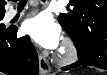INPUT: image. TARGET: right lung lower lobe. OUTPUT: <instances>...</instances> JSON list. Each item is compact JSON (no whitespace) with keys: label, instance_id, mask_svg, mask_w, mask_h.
I'll return each mask as SVG.
<instances>
[{"label":"right lung lower lobe","instance_id":"1","mask_svg":"<svg viewBox=\"0 0 107 75\" xmlns=\"http://www.w3.org/2000/svg\"><path fill=\"white\" fill-rule=\"evenodd\" d=\"M17 27L0 33V71L7 75H38V55L28 36L16 37Z\"/></svg>","mask_w":107,"mask_h":75}]
</instances>
